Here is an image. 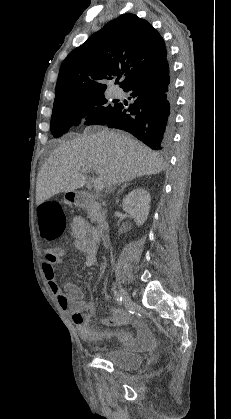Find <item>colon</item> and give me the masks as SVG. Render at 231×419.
<instances>
[{
  "label": "colon",
  "mask_w": 231,
  "mask_h": 419,
  "mask_svg": "<svg viewBox=\"0 0 231 419\" xmlns=\"http://www.w3.org/2000/svg\"><path fill=\"white\" fill-rule=\"evenodd\" d=\"M38 212L44 238L48 241L56 239L60 230L65 228V215L61 205L57 202L45 201L39 206ZM92 313L91 306H84L81 309V314L84 317L90 316Z\"/></svg>",
  "instance_id": "1"
}]
</instances>
